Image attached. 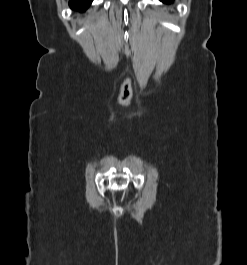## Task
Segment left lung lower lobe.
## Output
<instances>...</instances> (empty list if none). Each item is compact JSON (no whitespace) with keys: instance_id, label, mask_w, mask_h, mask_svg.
Here are the masks:
<instances>
[{"instance_id":"1","label":"left lung lower lobe","mask_w":247,"mask_h":265,"mask_svg":"<svg viewBox=\"0 0 247 265\" xmlns=\"http://www.w3.org/2000/svg\"><path fill=\"white\" fill-rule=\"evenodd\" d=\"M161 1L164 2V3L169 4V3H171L173 0H161Z\"/></svg>"}]
</instances>
